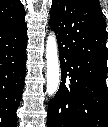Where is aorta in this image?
I'll list each match as a JSON object with an SVG mask.
<instances>
[{
  "instance_id": "aorta-1",
  "label": "aorta",
  "mask_w": 108,
  "mask_h": 127,
  "mask_svg": "<svg viewBox=\"0 0 108 127\" xmlns=\"http://www.w3.org/2000/svg\"><path fill=\"white\" fill-rule=\"evenodd\" d=\"M46 64H47L46 92L48 95L52 96L57 92L60 82L58 46H57V39L54 32H51L47 38Z\"/></svg>"
}]
</instances>
